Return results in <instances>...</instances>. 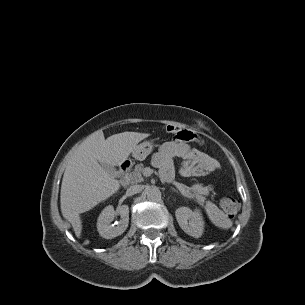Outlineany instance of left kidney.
Wrapping results in <instances>:
<instances>
[{"label": "left kidney", "mask_w": 305, "mask_h": 305, "mask_svg": "<svg viewBox=\"0 0 305 305\" xmlns=\"http://www.w3.org/2000/svg\"><path fill=\"white\" fill-rule=\"evenodd\" d=\"M175 216L179 226L188 235L199 238L204 229V221L199 209L192 211L187 207H180L176 210Z\"/></svg>", "instance_id": "1"}]
</instances>
